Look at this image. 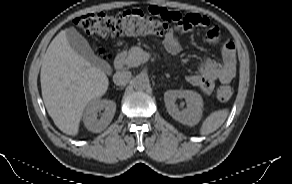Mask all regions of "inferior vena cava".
Wrapping results in <instances>:
<instances>
[{"label":"inferior vena cava","instance_id":"obj_1","mask_svg":"<svg viewBox=\"0 0 292 184\" xmlns=\"http://www.w3.org/2000/svg\"><path fill=\"white\" fill-rule=\"evenodd\" d=\"M131 79V72L129 71H118L113 75V82L117 86H125Z\"/></svg>","mask_w":292,"mask_h":184}]
</instances>
